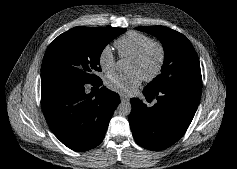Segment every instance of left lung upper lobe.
Instances as JSON below:
<instances>
[{
	"mask_svg": "<svg viewBox=\"0 0 237 169\" xmlns=\"http://www.w3.org/2000/svg\"><path fill=\"white\" fill-rule=\"evenodd\" d=\"M136 29L156 36L164 48L161 74L144 90L155 92L168 86L202 84L198 56L183 34L163 26L137 27Z\"/></svg>",
	"mask_w": 237,
	"mask_h": 169,
	"instance_id": "1",
	"label": "left lung upper lobe"
}]
</instances>
